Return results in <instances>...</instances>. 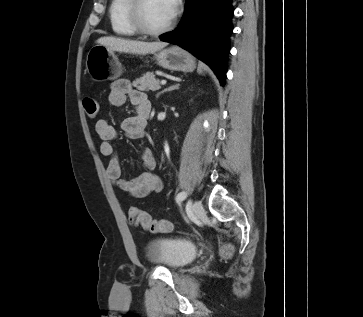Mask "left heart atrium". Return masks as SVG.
Listing matches in <instances>:
<instances>
[{
	"mask_svg": "<svg viewBox=\"0 0 363 317\" xmlns=\"http://www.w3.org/2000/svg\"><path fill=\"white\" fill-rule=\"evenodd\" d=\"M170 8H171V12L172 14L176 11L177 5H178V0H167Z\"/></svg>",
	"mask_w": 363,
	"mask_h": 317,
	"instance_id": "1",
	"label": "left heart atrium"
}]
</instances>
